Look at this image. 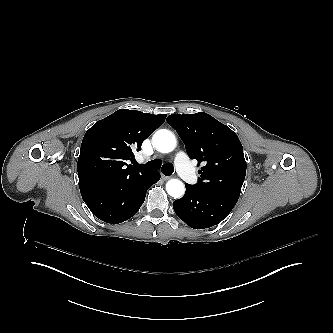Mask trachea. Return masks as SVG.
Wrapping results in <instances>:
<instances>
[{
    "label": "trachea",
    "instance_id": "trachea-1",
    "mask_svg": "<svg viewBox=\"0 0 333 333\" xmlns=\"http://www.w3.org/2000/svg\"><path fill=\"white\" fill-rule=\"evenodd\" d=\"M135 167L140 170H147V171H157V170L161 169L162 173L166 176L171 175L174 171V167L170 163L164 164L161 167V161L159 159L149 161L144 165H140V164L136 163Z\"/></svg>",
    "mask_w": 333,
    "mask_h": 333
}]
</instances>
